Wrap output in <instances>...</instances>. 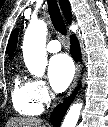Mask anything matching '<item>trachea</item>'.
Here are the masks:
<instances>
[{
    "label": "trachea",
    "mask_w": 108,
    "mask_h": 127,
    "mask_svg": "<svg viewBox=\"0 0 108 127\" xmlns=\"http://www.w3.org/2000/svg\"><path fill=\"white\" fill-rule=\"evenodd\" d=\"M48 11L54 28L62 35H66V26L56 0H47Z\"/></svg>",
    "instance_id": "trachea-1"
}]
</instances>
